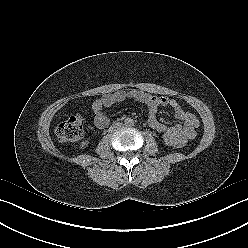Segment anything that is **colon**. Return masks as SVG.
<instances>
[{"mask_svg":"<svg viewBox=\"0 0 248 248\" xmlns=\"http://www.w3.org/2000/svg\"><path fill=\"white\" fill-rule=\"evenodd\" d=\"M56 136L61 141L75 142L79 141L84 136L83 118L80 115H73L56 128ZM163 141L171 147H179L182 145L179 137L173 133H163Z\"/></svg>","mask_w":248,"mask_h":248,"instance_id":"5ec220e1","label":"colon"}]
</instances>
